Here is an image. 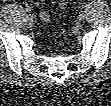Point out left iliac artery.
I'll return each instance as SVG.
<instances>
[{
  "label": "left iliac artery",
  "instance_id": "left-iliac-artery-1",
  "mask_svg": "<svg viewBox=\"0 0 111 106\" xmlns=\"http://www.w3.org/2000/svg\"><path fill=\"white\" fill-rule=\"evenodd\" d=\"M82 7H83V8L87 7V4H86V3H83V4H82Z\"/></svg>",
  "mask_w": 111,
  "mask_h": 106
}]
</instances>
